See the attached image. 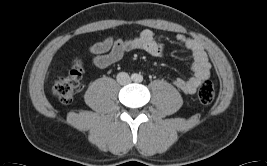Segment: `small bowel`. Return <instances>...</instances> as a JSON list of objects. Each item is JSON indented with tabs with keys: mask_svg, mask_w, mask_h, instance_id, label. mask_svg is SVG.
<instances>
[{
	"mask_svg": "<svg viewBox=\"0 0 267 166\" xmlns=\"http://www.w3.org/2000/svg\"><path fill=\"white\" fill-rule=\"evenodd\" d=\"M175 40L183 43L191 52L193 65L190 77H178L173 84L182 92L193 94L201 81L210 74L207 55L200 43L194 39L187 38L183 34H176ZM133 50H143L152 56L161 57L165 52V45L155 40L151 30L144 29L132 38L123 39L111 36L89 47L93 63L99 68H107L119 62L127 52Z\"/></svg>",
	"mask_w": 267,
	"mask_h": 166,
	"instance_id": "obj_1",
	"label": "small bowel"
}]
</instances>
